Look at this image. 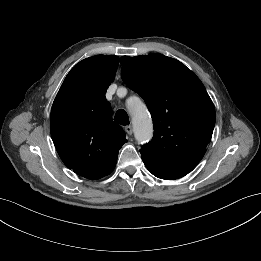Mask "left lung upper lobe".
Masks as SVG:
<instances>
[{"label":"left lung upper lobe","mask_w":261,"mask_h":261,"mask_svg":"<svg viewBox=\"0 0 261 261\" xmlns=\"http://www.w3.org/2000/svg\"><path fill=\"white\" fill-rule=\"evenodd\" d=\"M123 82L145 101L154 127L142 146L143 162L189 173L203 158L215 125V108L199 78L180 61L149 54L121 58Z\"/></svg>","instance_id":"5c2ea615"}]
</instances>
